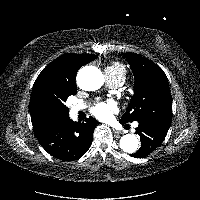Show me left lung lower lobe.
<instances>
[{
    "instance_id": "obj_1",
    "label": "left lung lower lobe",
    "mask_w": 200,
    "mask_h": 200,
    "mask_svg": "<svg viewBox=\"0 0 200 200\" xmlns=\"http://www.w3.org/2000/svg\"><path fill=\"white\" fill-rule=\"evenodd\" d=\"M121 122V121H120ZM124 124V122H121ZM169 126L156 124L154 122H139L136 128L140 136L141 147L131 156L143 158L153 152L165 139Z\"/></svg>"
}]
</instances>
